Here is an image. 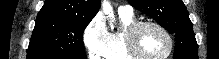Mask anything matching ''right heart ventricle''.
I'll list each match as a JSON object with an SVG mask.
<instances>
[{"label": "right heart ventricle", "mask_w": 219, "mask_h": 59, "mask_svg": "<svg viewBox=\"0 0 219 59\" xmlns=\"http://www.w3.org/2000/svg\"><path fill=\"white\" fill-rule=\"evenodd\" d=\"M119 18L121 26L109 32L108 44L101 57L103 59H135L126 49L125 32L137 19L133 13H119Z\"/></svg>", "instance_id": "right-heart-ventricle-1"}]
</instances>
